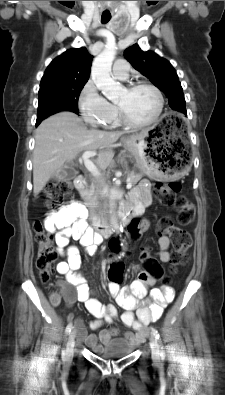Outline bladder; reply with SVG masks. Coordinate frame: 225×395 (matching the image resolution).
<instances>
[{
    "instance_id": "obj_1",
    "label": "bladder",
    "mask_w": 225,
    "mask_h": 395,
    "mask_svg": "<svg viewBox=\"0 0 225 395\" xmlns=\"http://www.w3.org/2000/svg\"><path fill=\"white\" fill-rule=\"evenodd\" d=\"M134 346L124 338H114L109 340L104 345H99L94 348L96 355L103 358H119L131 354L134 351Z\"/></svg>"
}]
</instances>
